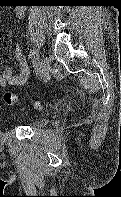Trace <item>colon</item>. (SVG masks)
<instances>
[{
	"label": "colon",
	"instance_id": "obj_1",
	"mask_svg": "<svg viewBox=\"0 0 121 197\" xmlns=\"http://www.w3.org/2000/svg\"><path fill=\"white\" fill-rule=\"evenodd\" d=\"M3 100H4L5 104L11 106V105L16 104V102H17V97H16V95L13 94V93L6 92V93L4 94V96H3ZM34 108L39 109V108H40L39 103H37V102L34 103Z\"/></svg>",
	"mask_w": 121,
	"mask_h": 197
}]
</instances>
